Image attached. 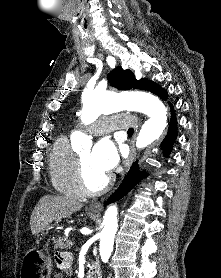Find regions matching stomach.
Returning <instances> with one entry per match:
<instances>
[{
	"label": "stomach",
	"instance_id": "1",
	"mask_svg": "<svg viewBox=\"0 0 221 278\" xmlns=\"http://www.w3.org/2000/svg\"><path fill=\"white\" fill-rule=\"evenodd\" d=\"M90 214H95L90 211ZM19 275L21 278H49L53 271L52 262L47 258V254H40V251H27L24 264H21Z\"/></svg>",
	"mask_w": 221,
	"mask_h": 278
}]
</instances>
